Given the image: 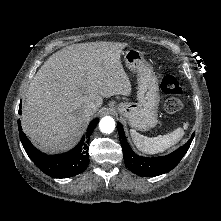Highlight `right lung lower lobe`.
<instances>
[{
	"mask_svg": "<svg viewBox=\"0 0 221 221\" xmlns=\"http://www.w3.org/2000/svg\"><path fill=\"white\" fill-rule=\"evenodd\" d=\"M21 114V104L19 108ZM99 119H94L87 129L80 143L71 151L58 155H47L35 148L23 133L20 120H18L19 135L22 145L34 162L45 174L53 178H68L82 173L89 164L88 144Z\"/></svg>",
	"mask_w": 221,
	"mask_h": 221,
	"instance_id": "98d812e1",
	"label": "right lung lower lobe"
}]
</instances>
